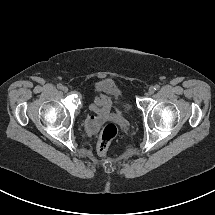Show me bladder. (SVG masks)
I'll return each mask as SVG.
<instances>
[{"mask_svg":"<svg viewBox=\"0 0 215 215\" xmlns=\"http://www.w3.org/2000/svg\"><path fill=\"white\" fill-rule=\"evenodd\" d=\"M95 91L97 93H102L107 96L118 97L122 95L120 87L112 79H104L99 81L95 86ZM128 110L131 109L130 104L127 103Z\"/></svg>","mask_w":215,"mask_h":215,"instance_id":"1","label":"bladder"}]
</instances>
